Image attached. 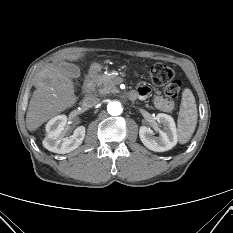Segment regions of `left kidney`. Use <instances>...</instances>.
I'll list each match as a JSON object with an SVG mask.
<instances>
[{"instance_id":"1","label":"left kidney","mask_w":233,"mask_h":233,"mask_svg":"<svg viewBox=\"0 0 233 233\" xmlns=\"http://www.w3.org/2000/svg\"><path fill=\"white\" fill-rule=\"evenodd\" d=\"M156 121L162 124L163 129H159V137L154 136V132L146 126L140 127V140L148 149L155 152H164L172 149L178 141L177 129L174 119L167 114L159 113Z\"/></svg>"}]
</instances>
